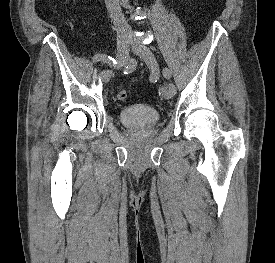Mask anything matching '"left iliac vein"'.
<instances>
[{
    "instance_id": "4c4485c4",
    "label": "left iliac vein",
    "mask_w": 275,
    "mask_h": 263,
    "mask_svg": "<svg viewBox=\"0 0 275 263\" xmlns=\"http://www.w3.org/2000/svg\"><path fill=\"white\" fill-rule=\"evenodd\" d=\"M132 50L145 62L153 73L159 72V65L156 57L148 46L141 42H135L132 44ZM174 95L175 94L170 87L162 88V96L165 99H171Z\"/></svg>"
}]
</instances>
